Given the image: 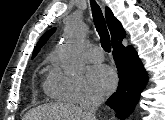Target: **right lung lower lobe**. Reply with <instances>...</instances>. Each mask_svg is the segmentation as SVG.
<instances>
[{
	"mask_svg": "<svg viewBox=\"0 0 165 120\" xmlns=\"http://www.w3.org/2000/svg\"><path fill=\"white\" fill-rule=\"evenodd\" d=\"M112 46L120 81L117 91L106 104L116 111L118 117L124 119L134 111L148 77L136 51L131 46L125 47L123 40Z\"/></svg>",
	"mask_w": 165,
	"mask_h": 120,
	"instance_id": "1",
	"label": "right lung lower lobe"
}]
</instances>
